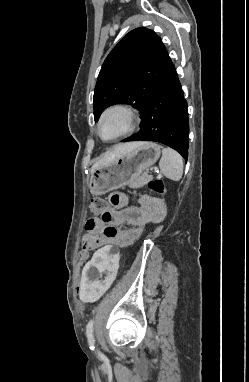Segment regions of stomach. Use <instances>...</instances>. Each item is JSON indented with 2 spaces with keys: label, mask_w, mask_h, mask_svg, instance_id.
<instances>
[{
  "label": "stomach",
  "mask_w": 249,
  "mask_h": 382,
  "mask_svg": "<svg viewBox=\"0 0 249 382\" xmlns=\"http://www.w3.org/2000/svg\"><path fill=\"white\" fill-rule=\"evenodd\" d=\"M160 154V145L141 142L109 165L100 167L92 173L89 182L91 193L101 195L127 185L131 178L139 177L143 171L154 165Z\"/></svg>",
  "instance_id": "0dacf381"
}]
</instances>
